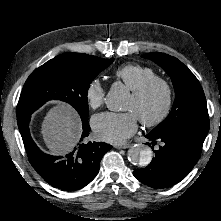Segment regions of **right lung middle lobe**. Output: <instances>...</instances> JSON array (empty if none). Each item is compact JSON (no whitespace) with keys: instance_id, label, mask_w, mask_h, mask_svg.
<instances>
[{"instance_id":"1","label":"right lung middle lobe","mask_w":221,"mask_h":221,"mask_svg":"<svg viewBox=\"0 0 221 221\" xmlns=\"http://www.w3.org/2000/svg\"><path fill=\"white\" fill-rule=\"evenodd\" d=\"M91 56L84 62H72L57 56L37 68L28 77L17 106V121L31 115L45 102L58 99L69 103L88 121L87 91L94 78L112 62Z\"/></svg>"}]
</instances>
